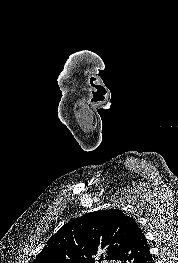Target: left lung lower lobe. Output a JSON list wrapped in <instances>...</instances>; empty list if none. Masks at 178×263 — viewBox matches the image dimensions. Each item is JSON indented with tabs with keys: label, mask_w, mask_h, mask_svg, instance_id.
<instances>
[{
	"label": "left lung lower lobe",
	"mask_w": 178,
	"mask_h": 263,
	"mask_svg": "<svg viewBox=\"0 0 178 263\" xmlns=\"http://www.w3.org/2000/svg\"><path fill=\"white\" fill-rule=\"evenodd\" d=\"M114 260L119 263H154L147 240L135 220L129 226Z\"/></svg>",
	"instance_id": "left-lung-lower-lobe-1"
}]
</instances>
